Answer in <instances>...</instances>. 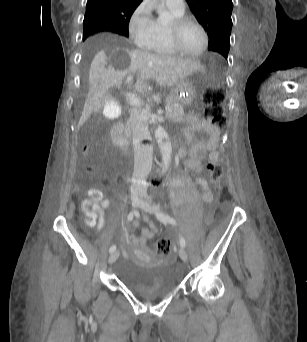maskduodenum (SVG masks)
<instances>
[{"mask_svg": "<svg viewBox=\"0 0 307 342\" xmlns=\"http://www.w3.org/2000/svg\"><path fill=\"white\" fill-rule=\"evenodd\" d=\"M112 140L118 149H120L122 152L126 151L128 142L125 136L124 126L122 123H117L113 127Z\"/></svg>", "mask_w": 307, "mask_h": 342, "instance_id": "duodenum-1", "label": "duodenum"}]
</instances>
